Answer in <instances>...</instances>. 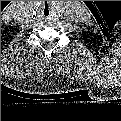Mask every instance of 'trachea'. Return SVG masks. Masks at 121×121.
<instances>
[{"mask_svg":"<svg viewBox=\"0 0 121 121\" xmlns=\"http://www.w3.org/2000/svg\"><path fill=\"white\" fill-rule=\"evenodd\" d=\"M51 13H52L51 5L47 2L42 3L40 8V15L44 18H47L51 15Z\"/></svg>","mask_w":121,"mask_h":121,"instance_id":"trachea-1","label":"trachea"}]
</instances>
